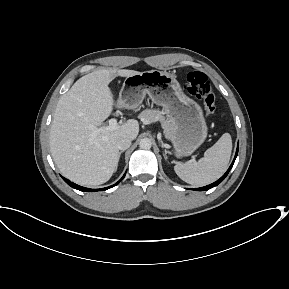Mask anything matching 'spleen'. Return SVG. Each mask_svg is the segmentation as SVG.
Here are the masks:
<instances>
[{
	"label": "spleen",
	"instance_id": "3e777b00",
	"mask_svg": "<svg viewBox=\"0 0 289 289\" xmlns=\"http://www.w3.org/2000/svg\"><path fill=\"white\" fill-rule=\"evenodd\" d=\"M232 151V139L224 133L197 162H179L174 166L180 179L194 186H204L216 181L227 169Z\"/></svg>",
	"mask_w": 289,
	"mask_h": 289
}]
</instances>
